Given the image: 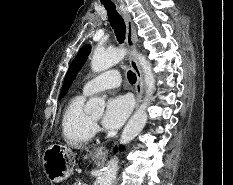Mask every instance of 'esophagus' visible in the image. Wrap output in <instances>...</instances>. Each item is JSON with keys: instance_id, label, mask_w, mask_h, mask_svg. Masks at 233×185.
<instances>
[{"instance_id": "obj_1", "label": "esophagus", "mask_w": 233, "mask_h": 185, "mask_svg": "<svg viewBox=\"0 0 233 185\" xmlns=\"http://www.w3.org/2000/svg\"><path fill=\"white\" fill-rule=\"evenodd\" d=\"M123 18L125 21L126 25V42L130 50L135 51L138 46V40L136 36V31H135V26L132 21V18L129 13L124 12L123 13ZM130 65L132 69L134 70L136 77H137V82L135 85V91H136V106L135 108L137 109L141 99H142V94H143V89H144V83H143V74L141 71V68L138 64V61L135 57H132L130 59ZM95 154L96 155H101V156H106L108 154V150L101 146L95 149Z\"/></svg>"}]
</instances>
